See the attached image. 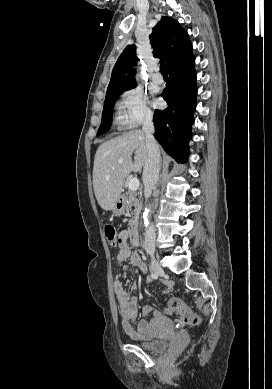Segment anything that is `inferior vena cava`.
Returning <instances> with one entry per match:
<instances>
[{
	"label": "inferior vena cava",
	"mask_w": 272,
	"mask_h": 389,
	"mask_svg": "<svg viewBox=\"0 0 272 389\" xmlns=\"http://www.w3.org/2000/svg\"><path fill=\"white\" fill-rule=\"evenodd\" d=\"M143 132L146 137L147 146V160L143 169V183L145 187V198L151 196L152 190L157 184L159 171H160V149L153 137L154 124L152 117H147L143 123ZM155 240L156 230L152 224H150L145 233L144 249L147 253L153 254L155 252Z\"/></svg>",
	"instance_id": "1"
}]
</instances>
